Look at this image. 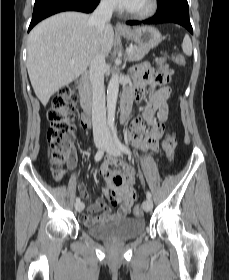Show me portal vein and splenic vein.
I'll return each mask as SVG.
<instances>
[{"label": "portal vein and splenic vein", "mask_w": 229, "mask_h": 280, "mask_svg": "<svg viewBox=\"0 0 229 280\" xmlns=\"http://www.w3.org/2000/svg\"><path fill=\"white\" fill-rule=\"evenodd\" d=\"M131 52H132V48H131V47H128V48L126 49V53L129 54V53H131ZM71 63H74V61L72 60Z\"/></svg>", "instance_id": "18ae733b"}]
</instances>
